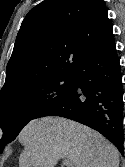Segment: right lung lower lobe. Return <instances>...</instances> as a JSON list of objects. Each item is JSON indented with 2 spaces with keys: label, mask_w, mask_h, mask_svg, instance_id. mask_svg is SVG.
Returning a JSON list of instances; mask_svg holds the SVG:
<instances>
[{
  "label": "right lung lower lobe",
  "mask_w": 125,
  "mask_h": 167,
  "mask_svg": "<svg viewBox=\"0 0 125 167\" xmlns=\"http://www.w3.org/2000/svg\"><path fill=\"white\" fill-rule=\"evenodd\" d=\"M74 74V84L33 119L60 116L77 121L100 132L123 155L122 74L112 27L91 46Z\"/></svg>",
  "instance_id": "right-lung-lower-lobe-1"
}]
</instances>
